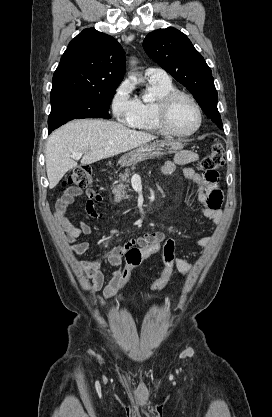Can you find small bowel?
Segmentation results:
<instances>
[{
  "label": "small bowel",
  "mask_w": 272,
  "mask_h": 417,
  "mask_svg": "<svg viewBox=\"0 0 272 417\" xmlns=\"http://www.w3.org/2000/svg\"><path fill=\"white\" fill-rule=\"evenodd\" d=\"M199 159V155L192 151H181L177 153L173 160L165 162L162 167L164 175H172L176 172L177 166H184ZM182 176L191 181L196 187V200L201 205V213L208 219L218 223L221 218L220 207L222 204V192L218 188L219 174L217 172L205 173L201 175L192 168L182 169ZM79 196L87 198L85 210L87 214L93 218H98L101 213L96 209V204L101 203L102 196L95 192L92 188L80 189L78 187H68L64 190L62 196L55 205L54 215L59 224L63 238L69 243V249L73 254L83 255L93 253L95 258L91 261L79 262L85 277L91 282L88 290L97 292L103 290V297H95V302L102 304L104 299L112 297L117 292V284L123 274V256L126 252L139 244L140 242L165 238V234L161 231L147 232L141 236L132 238L120 246L110 248L105 252H99L94 245L87 241H80L82 235H90L91 227L84 222H74L66 217L68 207ZM211 242L210 237H200L194 241L199 247H207ZM109 265L115 269L111 272L109 283L104 286L105 278L101 272V265ZM192 268L191 263L186 259L178 256L175 258V269L181 275H187Z\"/></svg>",
  "instance_id": "small-bowel-1"
}]
</instances>
